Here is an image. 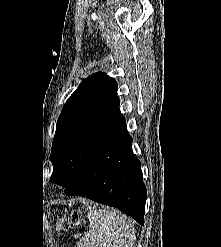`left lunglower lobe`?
I'll list each match as a JSON object with an SVG mask.
<instances>
[{
    "instance_id": "0a47b994",
    "label": "left lung lower lobe",
    "mask_w": 221,
    "mask_h": 247,
    "mask_svg": "<svg viewBox=\"0 0 221 247\" xmlns=\"http://www.w3.org/2000/svg\"><path fill=\"white\" fill-rule=\"evenodd\" d=\"M131 145L125 119L108 127L94 145L82 171L66 187V195H83L116 207L144 225L146 187L141 163Z\"/></svg>"
}]
</instances>
